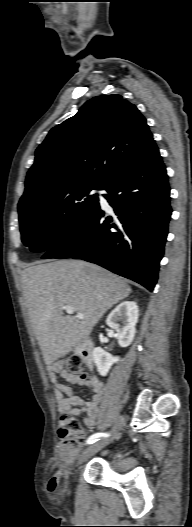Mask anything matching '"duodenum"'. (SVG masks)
Instances as JSON below:
<instances>
[{
	"instance_id": "410a0bca",
	"label": "duodenum",
	"mask_w": 192,
	"mask_h": 527,
	"mask_svg": "<svg viewBox=\"0 0 192 527\" xmlns=\"http://www.w3.org/2000/svg\"><path fill=\"white\" fill-rule=\"evenodd\" d=\"M93 347V343L90 340H85L78 346L77 352L82 358L90 362L93 353Z\"/></svg>"
}]
</instances>
